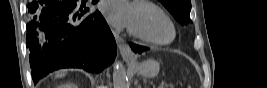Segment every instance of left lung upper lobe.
I'll return each mask as SVG.
<instances>
[{
	"mask_svg": "<svg viewBox=\"0 0 267 88\" xmlns=\"http://www.w3.org/2000/svg\"><path fill=\"white\" fill-rule=\"evenodd\" d=\"M182 25L190 20V0H159Z\"/></svg>",
	"mask_w": 267,
	"mask_h": 88,
	"instance_id": "left-lung-upper-lobe-1",
	"label": "left lung upper lobe"
}]
</instances>
